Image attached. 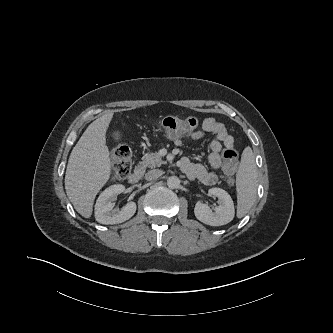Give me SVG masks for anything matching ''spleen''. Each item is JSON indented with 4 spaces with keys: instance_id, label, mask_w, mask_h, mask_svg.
I'll return each instance as SVG.
<instances>
[{
    "instance_id": "3e777b00",
    "label": "spleen",
    "mask_w": 333,
    "mask_h": 333,
    "mask_svg": "<svg viewBox=\"0 0 333 333\" xmlns=\"http://www.w3.org/2000/svg\"><path fill=\"white\" fill-rule=\"evenodd\" d=\"M237 216L243 217L253 206L257 193V170L253 151L246 147L236 175Z\"/></svg>"
}]
</instances>
